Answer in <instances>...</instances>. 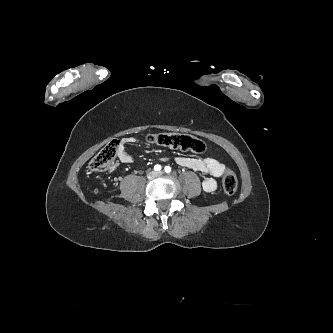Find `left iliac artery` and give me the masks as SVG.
Instances as JSON below:
<instances>
[{"label": "left iliac artery", "instance_id": "obj_1", "mask_svg": "<svg viewBox=\"0 0 333 333\" xmlns=\"http://www.w3.org/2000/svg\"><path fill=\"white\" fill-rule=\"evenodd\" d=\"M164 170H165L166 173H170L171 172V167L170 166H166L164 168Z\"/></svg>", "mask_w": 333, "mask_h": 333}]
</instances>
